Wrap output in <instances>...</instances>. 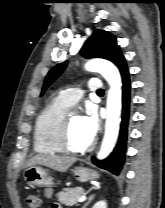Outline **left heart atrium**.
I'll list each match as a JSON object with an SVG mask.
<instances>
[{
	"label": "left heart atrium",
	"instance_id": "left-heart-atrium-1",
	"mask_svg": "<svg viewBox=\"0 0 165 208\" xmlns=\"http://www.w3.org/2000/svg\"><path fill=\"white\" fill-rule=\"evenodd\" d=\"M82 123L86 135L92 141L95 138L99 128V120L94 108L89 107L86 110V114L82 116Z\"/></svg>",
	"mask_w": 165,
	"mask_h": 208
}]
</instances>
